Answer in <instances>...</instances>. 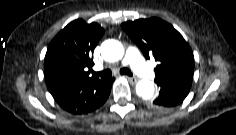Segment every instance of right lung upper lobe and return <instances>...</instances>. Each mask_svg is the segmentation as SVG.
<instances>
[{
    "mask_svg": "<svg viewBox=\"0 0 236 135\" xmlns=\"http://www.w3.org/2000/svg\"><path fill=\"white\" fill-rule=\"evenodd\" d=\"M103 34L104 29L97 23L87 24L82 19L69 23L48 46L44 64L46 83L60 78L94 79L87 68L93 65L90 54Z\"/></svg>",
    "mask_w": 236,
    "mask_h": 135,
    "instance_id": "cb5924a9",
    "label": "right lung upper lobe"
}]
</instances>
